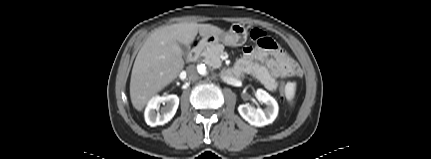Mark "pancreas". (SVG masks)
Listing matches in <instances>:
<instances>
[{
	"instance_id": "pancreas-1",
	"label": "pancreas",
	"mask_w": 431,
	"mask_h": 159,
	"mask_svg": "<svg viewBox=\"0 0 431 159\" xmlns=\"http://www.w3.org/2000/svg\"><path fill=\"white\" fill-rule=\"evenodd\" d=\"M224 51V46L222 44L216 43L207 47L201 54L204 58L203 61L208 65L214 68H218L221 66L220 55Z\"/></svg>"
}]
</instances>
